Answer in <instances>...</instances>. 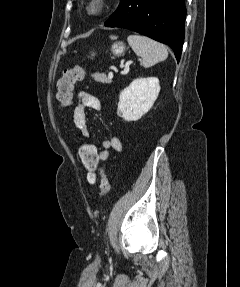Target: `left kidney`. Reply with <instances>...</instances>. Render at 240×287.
<instances>
[{
    "label": "left kidney",
    "instance_id": "1",
    "mask_svg": "<svg viewBox=\"0 0 240 287\" xmlns=\"http://www.w3.org/2000/svg\"><path fill=\"white\" fill-rule=\"evenodd\" d=\"M160 92L156 77L135 79L121 93L118 115L125 121H137L153 106Z\"/></svg>",
    "mask_w": 240,
    "mask_h": 287
}]
</instances>
